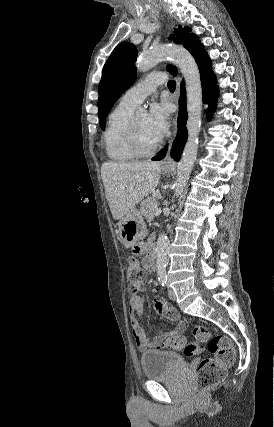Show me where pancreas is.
<instances>
[{
  "label": "pancreas",
  "mask_w": 274,
  "mask_h": 427,
  "mask_svg": "<svg viewBox=\"0 0 274 427\" xmlns=\"http://www.w3.org/2000/svg\"><path fill=\"white\" fill-rule=\"evenodd\" d=\"M159 202L157 198H147L141 204V215H145L147 221H152L155 217V210L158 208Z\"/></svg>",
  "instance_id": "obj_1"
}]
</instances>
